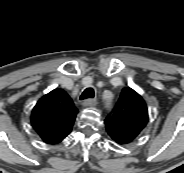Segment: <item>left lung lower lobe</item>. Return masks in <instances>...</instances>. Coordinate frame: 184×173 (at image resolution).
Returning <instances> with one entry per match:
<instances>
[{"label": "left lung lower lobe", "instance_id": "0a47b994", "mask_svg": "<svg viewBox=\"0 0 184 173\" xmlns=\"http://www.w3.org/2000/svg\"><path fill=\"white\" fill-rule=\"evenodd\" d=\"M114 140V139H113ZM114 141H116L117 143H119V144H123V143H121L119 140H114Z\"/></svg>", "mask_w": 184, "mask_h": 173}]
</instances>
